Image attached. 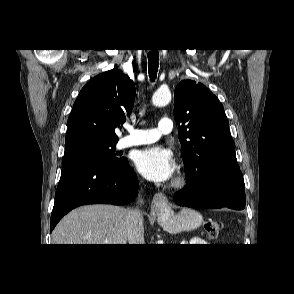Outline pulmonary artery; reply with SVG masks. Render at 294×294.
Returning a JSON list of instances; mask_svg holds the SVG:
<instances>
[{
    "mask_svg": "<svg viewBox=\"0 0 294 294\" xmlns=\"http://www.w3.org/2000/svg\"><path fill=\"white\" fill-rule=\"evenodd\" d=\"M172 122L168 117H163L155 129H132L129 128L130 134L120 140L121 147L148 144L157 141L161 135L168 134L172 131Z\"/></svg>",
    "mask_w": 294,
    "mask_h": 294,
    "instance_id": "obj_1",
    "label": "pulmonary artery"
}]
</instances>
